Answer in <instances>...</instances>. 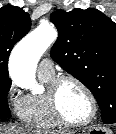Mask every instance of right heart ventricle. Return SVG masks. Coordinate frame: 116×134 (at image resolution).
Returning <instances> with one entry per match:
<instances>
[{
  "label": "right heart ventricle",
  "mask_w": 116,
  "mask_h": 134,
  "mask_svg": "<svg viewBox=\"0 0 116 134\" xmlns=\"http://www.w3.org/2000/svg\"><path fill=\"white\" fill-rule=\"evenodd\" d=\"M39 78L42 82L49 85L55 78V75L39 74ZM19 115L24 122L37 128L54 129L60 126V123L55 119L51 112L47 92L27 95Z\"/></svg>",
  "instance_id": "e07e8e85"
}]
</instances>
